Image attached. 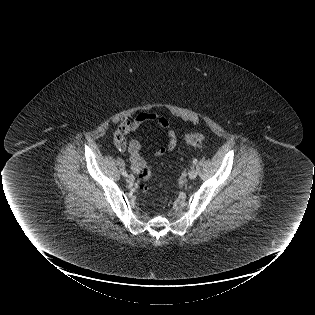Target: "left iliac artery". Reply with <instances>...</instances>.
I'll return each mask as SVG.
<instances>
[{"instance_id": "obj_1", "label": "left iliac artery", "mask_w": 315, "mask_h": 315, "mask_svg": "<svg viewBox=\"0 0 315 315\" xmlns=\"http://www.w3.org/2000/svg\"><path fill=\"white\" fill-rule=\"evenodd\" d=\"M198 160L197 159H194L193 160V164H197Z\"/></svg>"}]
</instances>
